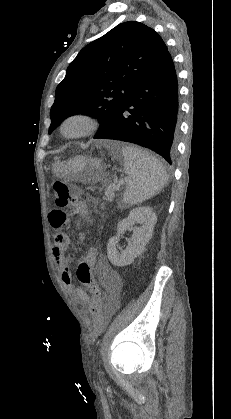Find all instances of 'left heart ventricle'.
<instances>
[{
  "instance_id": "left-heart-ventricle-1",
  "label": "left heart ventricle",
  "mask_w": 231,
  "mask_h": 419,
  "mask_svg": "<svg viewBox=\"0 0 231 419\" xmlns=\"http://www.w3.org/2000/svg\"><path fill=\"white\" fill-rule=\"evenodd\" d=\"M82 124L80 122H71L68 126H67V131L68 132H77L81 129Z\"/></svg>"
}]
</instances>
